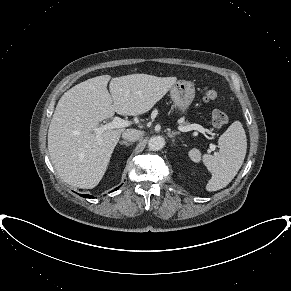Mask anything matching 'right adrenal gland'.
<instances>
[{
  "mask_svg": "<svg viewBox=\"0 0 291 291\" xmlns=\"http://www.w3.org/2000/svg\"><path fill=\"white\" fill-rule=\"evenodd\" d=\"M119 144H121V145H126V146H130V145H132V143L127 142V141H120Z\"/></svg>",
  "mask_w": 291,
  "mask_h": 291,
  "instance_id": "1",
  "label": "right adrenal gland"
}]
</instances>
